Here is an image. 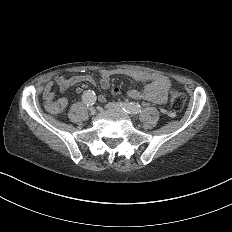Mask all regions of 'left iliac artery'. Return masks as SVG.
I'll use <instances>...</instances> for the list:
<instances>
[{"mask_svg":"<svg viewBox=\"0 0 232 232\" xmlns=\"http://www.w3.org/2000/svg\"><path fill=\"white\" fill-rule=\"evenodd\" d=\"M122 109L129 114H137L141 112V106L137 103L124 104Z\"/></svg>","mask_w":232,"mask_h":232,"instance_id":"44dca946","label":"left iliac artery"}]
</instances>
